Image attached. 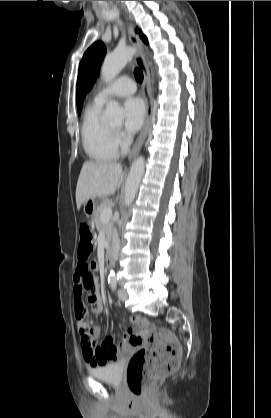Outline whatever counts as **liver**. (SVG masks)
I'll list each match as a JSON object with an SVG mask.
<instances>
[{"mask_svg":"<svg viewBox=\"0 0 271 418\" xmlns=\"http://www.w3.org/2000/svg\"><path fill=\"white\" fill-rule=\"evenodd\" d=\"M122 166L116 162H84L76 187L79 210L89 198L106 197L115 193L123 179Z\"/></svg>","mask_w":271,"mask_h":418,"instance_id":"6515ba94","label":"liver"}]
</instances>
